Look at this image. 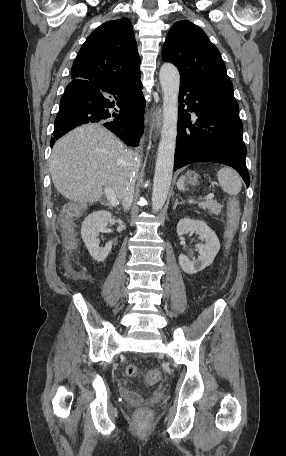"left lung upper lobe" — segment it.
I'll return each mask as SVG.
<instances>
[{
    "label": "left lung upper lobe",
    "mask_w": 286,
    "mask_h": 456,
    "mask_svg": "<svg viewBox=\"0 0 286 456\" xmlns=\"http://www.w3.org/2000/svg\"><path fill=\"white\" fill-rule=\"evenodd\" d=\"M162 58L178 68L180 81L238 106L220 52L197 25L188 20L174 23L163 46Z\"/></svg>",
    "instance_id": "obj_1"
}]
</instances>
